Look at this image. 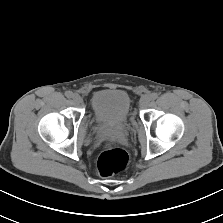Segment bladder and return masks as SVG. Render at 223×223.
<instances>
[{
	"mask_svg": "<svg viewBox=\"0 0 223 223\" xmlns=\"http://www.w3.org/2000/svg\"><path fill=\"white\" fill-rule=\"evenodd\" d=\"M131 98L122 89L98 90L91 96V109L97 122L121 124L131 113Z\"/></svg>",
	"mask_w": 223,
	"mask_h": 223,
	"instance_id": "31cf9c89",
	"label": "bladder"
}]
</instances>
